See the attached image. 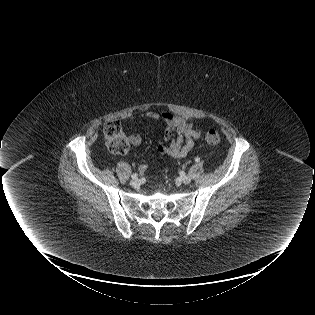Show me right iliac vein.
Masks as SVG:
<instances>
[{"label": "right iliac vein", "instance_id": "1", "mask_svg": "<svg viewBox=\"0 0 315 315\" xmlns=\"http://www.w3.org/2000/svg\"><path fill=\"white\" fill-rule=\"evenodd\" d=\"M130 184L133 186V187H136V186H138V185H140V180L139 179H132L131 181H130Z\"/></svg>", "mask_w": 315, "mask_h": 315}]
</instances>
